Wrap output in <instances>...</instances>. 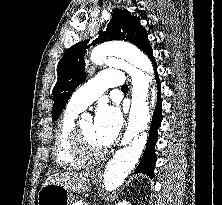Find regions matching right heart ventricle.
Listing matches in <instances>:
<instances>
[{
  "label": "right heart ventricle",
  "instance_id": "right-heart-ventricle-1",
  "mask_svg": "<svg viewBox=\"0 0 222 205\" xmlns=\"http://www.w3.org/2000/svg\"><path fill=\"white\" fill-rule=\"evenodd\" d=\"M78 113L79 111L67 107L55 132L53 157L57 165L62 168L76 169L82 167L84 163L75 155L71 140L75 117Z\"/></svg>",
  "mask_w": 222,
  "mask_h": 205
}]
</instances>
